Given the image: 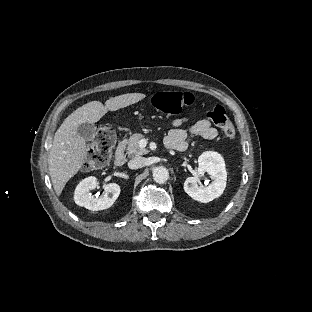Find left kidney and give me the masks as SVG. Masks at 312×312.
<instances>
[{
    "instance_id": "5707ae66",
    "label": "left kidney",
    "mask_w": 312,
    "mask_h": 312,
    "mask_svg": "<svg viewBox=\"0 0 312 312\" xmlns=\"http://www.w3.org/2000/svg\"><path fill=\"white\" fill-rule=\"evenodd\" d=\"M198 164V175L186 179L184 190L194 200L207 203L219 197L226 187L225 162L219 153L206 151L199 156ZM205 172L210 175L212 182L207 186L198 185L200 176H203Z\"/></svg>"
}]
</instances>
